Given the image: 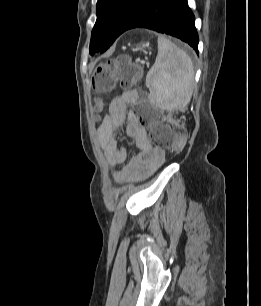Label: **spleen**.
Listing matches in <instances>:
<instances>
[{"label": "spleen", "mask_w": 261, "mask_h": 306, "mask_svg": "<svg viewBox=\"0 0 261 306\" xmlns=\"http://www.w3.org/2000/svg\"><path fill=\"white\" fill-rule=\"evenodd\" d=\"M148 97L165 110L183 109L194 88V66L189 55L163 36L158 37V54L146 76Z\"/></svg>", "instance_id": "spleen-1"}]
</instances>
